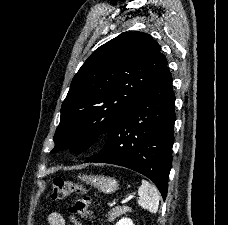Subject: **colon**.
Returning <instances> with one entry per match:
<instances>
[{
	"instance_id": "colon-1",
	"label": "colon",
	"mask_w": 228,
	"mask_h": 225,
	"mask_svg": "<svg viewBox=\"0 0 228 225\" xmlns=\"http://www.w3.org/2000/svg\"><path fill=\"white\" fill-rule=\"evenodd\" d=\"M89 189L77 182L55 177L52 180L51 200L58 201L77 195L69 205L70 214H76L86 220H94V215L89 207V200L82 198Z\"/></svg>"
}]
</instances>
